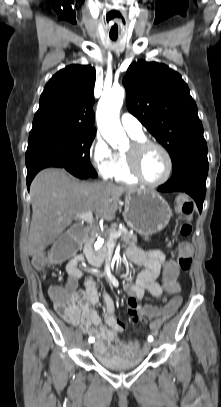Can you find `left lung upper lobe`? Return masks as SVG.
Listing matches in <instances>:
<instances>
[{
	"label": "left lung upper lobe",
	"instance_id": "left-lung-upper-lobe-1",
	"mask_svg": "<svg viewBox=\"0 0 221 407\" xmlns=\"http://www.w3.org/2000/svg\"><path fill=\"white\" fill-rule=\"evenodd\" d=\"M128 110L167 149L175 168L185 157L207 152L195 101L179 73L144 60L123 78Z\"/></svg>",
	"mask_w": 221,
	"mask_h": 407
}]
</instances>
